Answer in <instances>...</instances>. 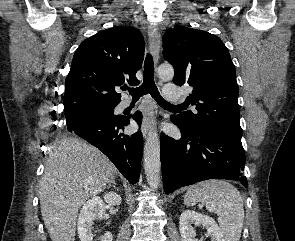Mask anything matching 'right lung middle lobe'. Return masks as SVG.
Here are the masks:
<instances>
[{"label": "right lung middle lobe", "instance_id": "right-lung-middle-lobe-1", "mask_svg": "<svg viewBox=\"0 0 295 241\" xmlns=\"http://www.w3.org/2000/svg\"><path fill=\"white\" fill-rule=\"evenodd\" d=\"M116 105H105V106H95V107H89L73 112H69L65 114L66 121H73L78 118L88 116V115H108V116H116L114 115V108Z\"/></svg>", "mask_w": 295, "mask_h": 241}]
</instances>
